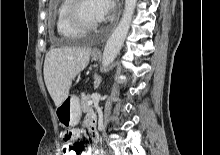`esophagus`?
I'll list each match as a JSON object with an SVG mask.
<instances>
[{"label": "esophagus", "instance_id": "esophagus-1", "mask_svg": "<svg viewBox=\"0 0 220 155\" xmlns=\"http://www.w3.org/2000/svg\"><path fill=\"white\" fill-rule=\"evenodd\" d=\"M122 3H123V0H122ZM119 16H120V12H119L118 18H119ZM95 52H98V50L96 49Z\"/></svg>", "mask_w": 220, "mask_h": 155}]
</instances>
